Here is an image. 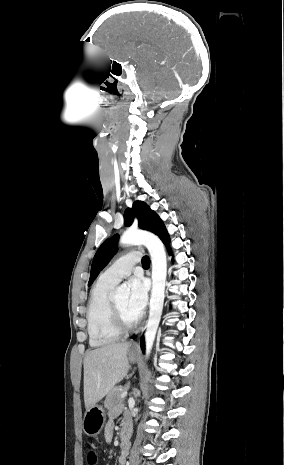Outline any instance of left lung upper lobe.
<instances>
[{"mask_svg":"<svg viewBox=\"0 0 284 465\" xmlns=\"http://www.w3.org/2000/svg\"><path fill=\"white\" fill-rule=\"evenodd\" d=\"M134 217L138 218L141 229L155 233L162 241L168 236L162 220L145 202L136 201L133 203L132 209H126L124 213L125 226H130ZM118 239V235H114L112 238L104 241L97 250L91 266L89 286L116 253Z\"/></svg>","mask_w":284,"mask_h":465,"instance_id":"obj_1","label":"left lung upper lobe"}]
</instances>
